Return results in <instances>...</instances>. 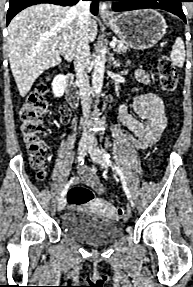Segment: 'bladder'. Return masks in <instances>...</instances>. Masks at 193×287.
<instances>
[{
	"label": "bladder",
	"instance_id": "bladder-1",
	"mask_svg": "<svg viewBox=\"0 0 193 287\" xmlns=\"http://www.w3.org/2000/svg\"><path fill=\"white\" fill-rule=\"evenodd\" d=\"M61 230L73 239L90 246L107 245L123 235L122 226L94 213L71 210L62 217Z\"/></svg>",
	"mask_w": 193,
	"mask_h": 287
}]
</instances>
